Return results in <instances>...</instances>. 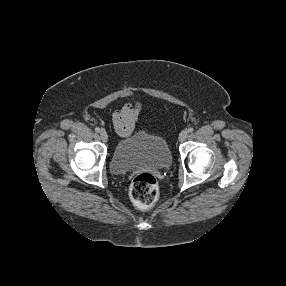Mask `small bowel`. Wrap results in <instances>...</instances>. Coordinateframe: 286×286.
Here are the masks:
<instances>
[{
  "label": "small bowel",
  "mask_w": 286,
  "mask_h": 286,
  "mask_svg": "<svg viewBox=\"0 0 286 286\" xmlns=\"http://www.w3.org/2000/svg\"><path fill=\"white\" fill-rule=\"evenodd\" d=\"M140 106L137 103H126L112 114V122L120 136H128L134 130Z\"/></svg>",
  "instance_id": "c3829d8e"
}]
</instances>
